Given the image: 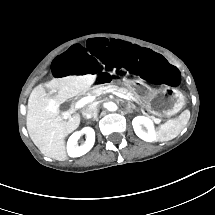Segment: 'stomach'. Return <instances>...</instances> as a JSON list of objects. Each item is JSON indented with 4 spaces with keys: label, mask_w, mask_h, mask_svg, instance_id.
Wrapping results in <instances>:
<instances>
[{
    "label": "stomach",
    "mask_w": 215,
    "mask_h": 215,
    "mask_svg": "<svg viewBox=\"0 0 215 215\" xmlns=\"http://www.w3.org/2000/svg\"><path fill=\"white\" fill-rule=\"evenodd\" d=\"M126 88L150 112L159 116H170L179 112L184 106L183 94L168 88H151L142 82H130Z\"/></svg>",
    "instance_id": "0dacf381"
}]
</instances>
